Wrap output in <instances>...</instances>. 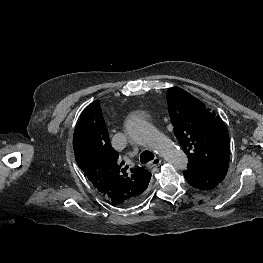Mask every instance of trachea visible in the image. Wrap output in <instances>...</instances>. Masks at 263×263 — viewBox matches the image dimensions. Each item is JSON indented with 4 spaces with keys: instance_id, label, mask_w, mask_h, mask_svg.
I'll return each instance as SVG.
<instances>
[{
    "instance_id": "obj_1",
    "label": "trachea",
    "mask_w": 263,
    "mask_h": 263,
    "mask_svg": "<svg viewBox=\"0 0 263 263\" xmlns=\"http://www.w3.org/2000/svg\"><path fill=\"white\" fill-rule=\"evenodd\" d=\"M154 159V154L150 151H143L140 155V161L142 164H145Z\"/></svg>"
}]
</instances>
